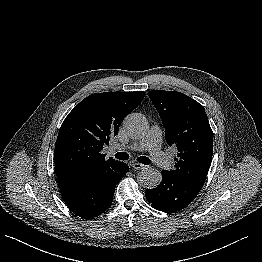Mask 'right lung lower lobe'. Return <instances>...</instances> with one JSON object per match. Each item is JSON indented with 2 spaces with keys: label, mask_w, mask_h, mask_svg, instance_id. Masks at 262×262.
<instances>
[{
  "label": "right lung lower lobe",
  "mask_w": 262,
  "mask_h": 262,
  "mask_svg": "<svg viewBox=\"0 0 262 262\" xmlns=\"http://www.w3.org/2000/svg\"><path fill=\"white\" fill-rule=\"evenodd\" d=\"M129 171L121 163L116 169L69 182H59L60 193L70 210L84 219L102 214L112 204L116 184Z\"/></svg>",
  "instance_id": "1"
}]
</instances>
